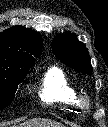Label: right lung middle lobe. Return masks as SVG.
Listing matches in <instances>:
<instances>
[{
    "label": "right lung middle lobe",
    "mask_w": 108,
    "mask_h": 127,
    "mask_svg": "<svg viewBox=\"0 0 108 127\" xmlns=\"http://www.w3.org/2000/svg\"><path fill=\"white\" fill-rule=\"evenodd\" d=\"M31 67L14 60L0 59V109L14 99L18 85L23 82Z\"/></svg>",
    "instance_id": "obj_1"
}]
</instances>
